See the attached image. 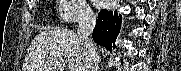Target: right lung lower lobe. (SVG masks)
<instances>
[{"label":"right lung lower lobe","instance_id":"right-lung-lower-lobe-1","mask_svg":"<svg viewBox=\"0 0 181 71\" xmlns=\"http://www.w3.org/2000/svg\"><path fill=\"white\" fill-rule=\"evenodd\" d=\"M121 21L122 17L119 15L118 18L117 11L101 10L92 33L93 40L107 50H111L112 47L115 49V41L120 31Z\"/></svg>","mask_w":181,"mask_h":71}]
</instances>
